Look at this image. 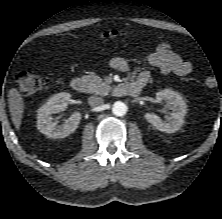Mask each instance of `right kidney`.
Returning a JSON list of instances; mask_svg holds the SVG:
<instances>
[{
	"instance_id": "obj_1",
	"label": "right kidney",
	"mask_w": 222,
	"mask_h": 219,
	"mask_svg": "<svg viewBox=\"0 0 222 219\" xmlns=\"http://www.w3.org/2000/svg\"><path fill=\"white\" fill-rule=\"evenodd\" d=\"M70 97L69 93L55 94L38 109L37 128L42 134L57 139L67 137L76 131L81 120L79 112H74L62 125H58L52 117L53 114L66 108Z\"/></svg>"
}]
</instances>
